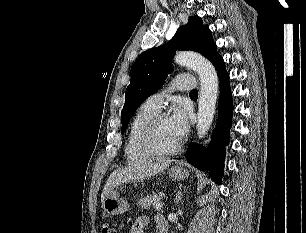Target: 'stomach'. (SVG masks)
<instances>
[{
    "label": "stomach",
    "mask_w": 306,
    "mask_h": 233,
    "mask_svg": "<svg viewBox=\"0 0 306 233\" xmlns=\"http://www.w3.org/2000/svg\"><path fill=\"white\" fill-rule=\"evenodd\" d=\"M168 174L170 178L176 181L184 180L189 176V172L181 166L172 167ZM129 206L128 202L120 196L117 189L112 190L102 202V208L109 215L122 214L129 209Z\"/></svg>",
    "instance_id": "stomach-1"
}]
</instances>
